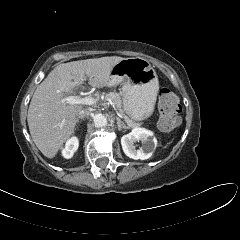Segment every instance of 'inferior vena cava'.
Listing matches in <instances>:
<instances>
[{"label":"inferior vena cava","mask_w":240,"mask_h":240,"mask_svg":"<svg viewBox=\"0 0 240 240\" xmlns=\"http://www.w3.org/2000/svg\"><path fill=\"white\" fill-rule=\"evenodd\" d=\"M90 112L91 111L88 108L82 109L81 111H79L78 117L84 118V117L88 116L90 114Z\"/></svg>","instance_id":"1"}]
</instances>
